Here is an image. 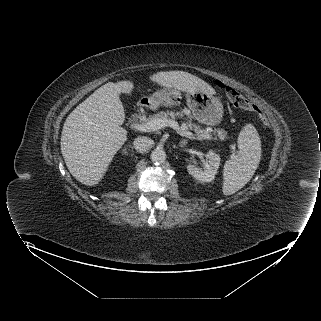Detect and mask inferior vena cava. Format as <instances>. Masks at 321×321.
<instances>
[{
    "label": "inferior vena cava",
    "mask_w": 321,
    "mask_h": 321,
    "mask_svg": "<svg viewBox=\"0 0 321 321\" xmlns=\"http://www.w3.org/2000/svg\"><path fill=\"white\" fill-rule=\"evenodd\" d=\"M154 144V141L148 137L142 136V137H137L134 142V148L138 152H145L149 150Z\"/></svg>",
    "instance_id": "obj_1"
}]
</instances>
